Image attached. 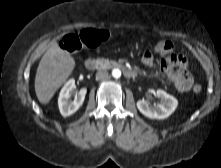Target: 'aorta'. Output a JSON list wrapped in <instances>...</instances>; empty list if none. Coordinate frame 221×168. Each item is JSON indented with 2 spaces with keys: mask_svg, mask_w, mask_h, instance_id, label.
Here are the masks:
<instances>
[{
  "mask_svg": "<svg viewBox=\"0 0 221 168\" xmlns=\"http://www.w3.org/2000/svg\"><path fill=\"white\" fill-rule=\"evenodd\" d=\"M112 76L116 79L120 78L121 77V71L119 69H113L112 71Z\"/></svg>",
  "mask_w": 221,
  "mask_h": 168,
  "instance_id": "762f6f07",
  "label": "aorta"
}]
</instances>
